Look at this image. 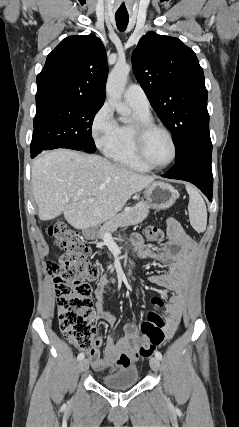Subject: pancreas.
I'll list each match as a JSON object with an SVG mask.
<instances>
[{
  "mask_svg": "<svg viewBox=\"0 0 239 427\" xmlns=\"http://www.w3.org/2000/svg\"><path fill=\"white\" fill-rule=\"evenodd\" d=\"M148 214V204L141 202L136 207L125 210L104 223L99 230L100 238L104 239L106 233L114 232L119 227L137 225L143 222V220L147 218Z\"/></svg>",
  "mask_w": 239,
  "mask_h": 427,
  "instance_id": "cf45deb5",
  "label": "pancreas"
}]
</instances>
